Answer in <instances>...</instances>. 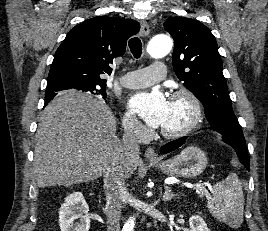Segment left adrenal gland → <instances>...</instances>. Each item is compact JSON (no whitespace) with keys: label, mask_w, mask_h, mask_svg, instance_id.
<instances>
[{"label":"left adrenal gland","mask_w":268,"mask_h":231,"mask_svg":"<svg viewBox=\"0 0 268 231\" xmlns=\"http://www.w3.org/2000/svg\"><path fill=\"white\" fill-rule=\"evenodd\" d=\"M175 196H178V194H174L168 186H165L162 200L165 202L171 201Z\"/></svg>","instance_id":"1"}]
</instances>
